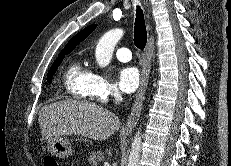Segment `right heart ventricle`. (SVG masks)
<instances>
[{"label":"right heart ventricle","instance_id":"right-heart-ventricle-1","mask_svg":"<svg viewBox=\"0 0 231 166\" xmlns=\"http://www.w3.org/2000/svg\"><path fill=\"white\" fill-rule=\"evenodd\" d=\"M91 74L92 72L83 60H74L64 75V85L67 92L75 99L87 100L90 96Z\"/></svg>","mask_w":231,"mask_h":166}]
</instances>
